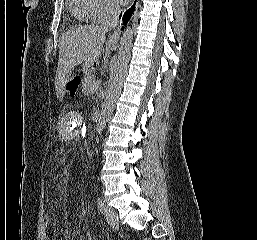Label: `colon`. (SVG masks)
Returning <instances> with one entry per match:
<instances>
[{
  "label": "colon",
  "instance_id": "5ec220e1",
  "mask_svg": "<svg viewBox=\"0 0 257 240\" xmlns=\"http://www.w3.org/2000/svg\"><path fill=\"white\" fill-rule=\"evenodd\" d=\"M80 82H81V79L78 75H72L67 81L66 91L71 96H75L78 93ZM49 226H50V216L48 213H45L41 221V232L45 238L48 237Z\"/></svg>",
  "mask_w": 257,
  "mask_h": 240
}]
</instances>
